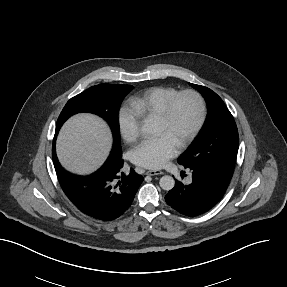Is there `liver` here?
<instances>
[{"mask_svg": "<svg viewBox=\"0 0 287 287\" xmlns=\"http://www.w3.org/2000/svg\"><path fill=\"white\" fill-rule=\"evenodd\" d=\"M111 133L106 123L91 114H79L67 121L57 140V155L62 166L75 174H89L107 158Z\"/></svg>", "mask_w": 287, "mask_h": 287, "instance_id": "1", "label": "liver"}]
</instances>
